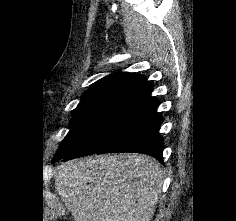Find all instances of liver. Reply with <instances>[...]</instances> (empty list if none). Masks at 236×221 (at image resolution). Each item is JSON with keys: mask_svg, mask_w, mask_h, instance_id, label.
Listing matches in <instances>:
<instances>
[{"mask_svg": "<svg viewBox=\"0 0 236 221\" xmlns=\"http://www.w3.org/2000/svg\"><path fill=\"white\" fill-rule=\"evenodd\" d=\"M163 177L148 156L97 155L62 165L55 189L75 221H150Z\"/></svg>", "mask_w": 236, "mask_h": 221, "instance_id": "liver-1", "label": "liver"}]
</instances>
